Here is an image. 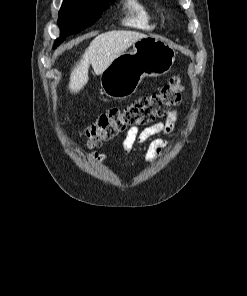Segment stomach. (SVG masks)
Segmentation results:
<instances>
[{"label":"stomach","instance_id":"obj_1","mask_svg":"<svg viewBox=\"0 0 247 296\" xmlns=\"http://www.w3.org/2000/svg\"><path fill=\"white\" fill-rule=\"evenodd\" d=\"M175 56L174 48L165 41L153 36L142 38L101 74V87L113 99L128 98L135 93L144 77H157L169 72Z\"/></svg>","mask_w":247,"mask_h":296}]
</instances>
